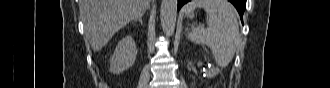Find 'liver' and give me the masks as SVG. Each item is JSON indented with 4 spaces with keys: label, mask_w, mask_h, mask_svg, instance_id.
Wrapping results in <instances>:
<instances>
[{
    "label": "liver",
    "mask_w": 330,
    "mask_h": 88,
    "mask_svg": "<svg viewBox=\"0 0 330 88\" xmlns=\"http://www.w3.org/2000/svg\"><path fill=\"white\" fill-rule=\"evenodd\" d=\"M150 0H81L86 40L100 51L113 35L130 21L142 16Z\"/></svg>",
    "instance_id": "liver-1"
}]
</instances>
